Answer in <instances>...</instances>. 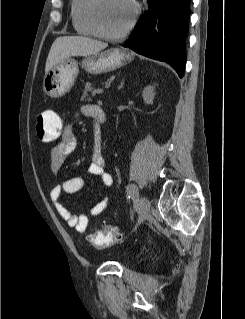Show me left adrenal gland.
<instances>
[{"label":"left adrenal gland","mask_w":245,"mask_h":319,"mask_svg":"<svg viewBox=\"0 0 245 319\" xmlns=\"http://www.w3.org/2000/svg\"><path fill=\"white\" fill-rule=\"evenodd\" d=\"M124 85V79H122L121 83H120V86H119V89H121Z\"/></svg>","instance_id":"left-adrenal-gland-1"}]
</instances>
